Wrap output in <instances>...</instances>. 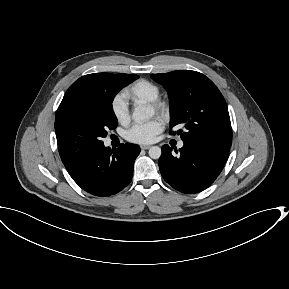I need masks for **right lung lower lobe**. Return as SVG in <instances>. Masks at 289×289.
<instances>
[{
  "label": "right lung lower lobe",
  "instance_id": "obj_1",
  "mask_svg": "<svg viewBox=\"0 0 289 289\" xmlns=\"http://www.w3.org/2000/svg\"><path fill=\"white\" fill-rule=\"evenodd\" d=\"M139 153L140 148L135 144H121L116 150L103 144L65 167L83 190L105 197L116 194L131 182Z\"/></svg>",
  "mask_w": 289,
  "mask_h": 289
}]
</instances>
